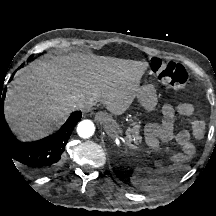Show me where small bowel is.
I'll return each instance as SVG.
<instances>
[{
  "label": "small bowel",
  "instance_id": "1",
  "mask_svg": "<svg viewBox=\"0 0 216 216\" xmlns=\"http://www.w3.org/2000/svg\"><path fill=\"white\" fill-rule=\"evenodd\" d=\"M177 112L183 116H191L194 113V106L190 103H182L177 107ZM175 111L168 107L164 110V119L159 127V141L175 139L186 155H192L195 147L191 137L201 139L204 135L205 125L202 120L193 119L190 121V131L181 130L174 134Z\"/></svg>",
  "mask_w": 216,
  "mask_h": 216
}]
</instances>
